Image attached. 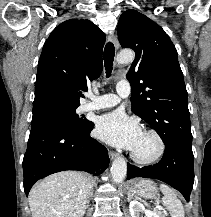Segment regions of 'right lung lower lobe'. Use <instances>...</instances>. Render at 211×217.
<instances>
[{
  "instance_id": "right-lung-lower-lobe-1",
  "label": "right lung lower lobe",
  "mask_w": 211,
  "mask_h": 217,
  "mask_svg": "<svg viewBox=\"0 0 211 217\" xmlns=\"http://www.w3.org/2000/svg\"><path fill=\"white\" fill-rule=\"evenodd\" d=\"M94 124L75 133L56 126L31 128L23 159L24 191L50 174L78 170L99 175L109 165L107 149L90 137Z\"/></svg>"
}]
</instances>
